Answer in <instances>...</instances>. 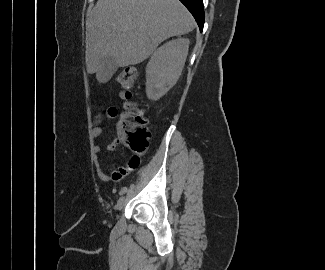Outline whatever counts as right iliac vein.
Instances as JSON below:
<instances>
[{
	"instance_id": "obj_1",
	"label": "right iliac vein",
	"mask_w": 325,
	"mask_h": 270,
	"mask_svg": "<svg viewBox=\"0 0 325 270\" xmlns=\"http://www.w3.org/2000/svg\"><path fill=\"white\" fill-rule=\"evenodd\" d=\"M126 203V197L125 196H121L118 201H117V204H116V209L118 211L122 210L124 205Z\"/></svg>"
}]
</instances>
